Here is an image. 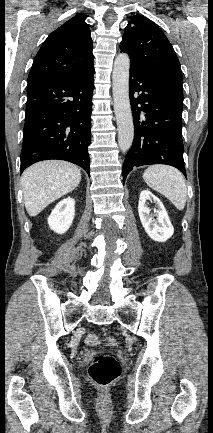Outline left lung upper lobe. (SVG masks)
Wrapping results in <instances>:
<instances>
[{"mask_svg": "<svg viewBox=\"0 0 213 433\" xmlns=\"http://www.w3.org/2000/svg\"><path fill=\"white\" fill-rule=\"evenodd\" d=\"M120 49L129 54L131 68L150 81L183 96L179 60L169 40L154 22L141 15L132 17L123 34Z\"/></svg>", "mask_w": 213, "mask_h": 433, "instance_id": "1", "label": "left lung upper lobe"}]
</instances>
